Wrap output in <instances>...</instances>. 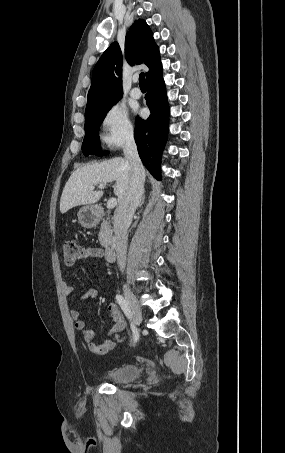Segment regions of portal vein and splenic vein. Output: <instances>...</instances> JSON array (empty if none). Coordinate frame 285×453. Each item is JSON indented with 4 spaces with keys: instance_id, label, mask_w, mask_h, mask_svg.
Wrapping results in <instances>:
<instances>
[{
    "instance_id": "portal-vein-and-splenic-vein-1",
    "label": "portal vein and splenic vein",
    "mask_w": 285,
    "mask_h": 453,
    "mask_svg": "<svg viewBox=\"0 0 285 453\" xmlns=\"http://www.w3.org/2000/svg\"><path fill=\"white\" fill-rule=\"evenodd\" d=\"M98 188H99V189H103V188H105V185L99 184V185H98ZM90 189H91V190L95 189V186L90 187ZM116 204H117L116 198H110V199L108 200V202H107V208H108V209H112V208H114V207L116 206Z\"/></svg>"
}]
</instances>
